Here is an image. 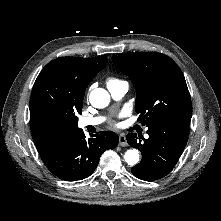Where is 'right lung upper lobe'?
I'll return each mask as SVG.
<instances>
[{
    "label": "right lung upper lobe",
    "mask_w": 221,
    "mask_h": 221,
    "mask_svg": "<svg viewBox=\"0 0 221 221\" xmlns=\"http://www.w3.org/2000/svg\"><path fill=\"white\" fill-rule=\"evenodd\" d=\"M107 56L108 54L95 58H66L70 61L75 77L87 87L92 78L106 66ZM30 125L36 146L62 139L81 130L78 127H65L34 116H30Z\"/></svg>",
    "instance_id": "cb5924a9"
}]
</instances>
